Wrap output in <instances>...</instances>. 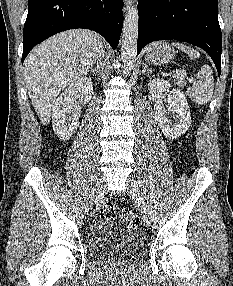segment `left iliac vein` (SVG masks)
Wrapping results in <instances>:
<instances>
[{
	"label": "left iliac vein",
	"mask_w": 233,
	"mask_h": 286,
	"mask_svg": "<svg viewBox=\"0 0 233 286\" xmlns=\"http://www.w3.org/2000/svg\"><path fill=\"white\" fill-rule=\"evenodd\" d=\"M127 186H128V194L135 200V202L137 203V205L141 210L144 223L146 224V226H150L151 217L149 208L143 198V195L141 193L137 181L131 175L127 178Z\"/></svg>",
	"instance_id": "obj_1"
}]
</instances>
